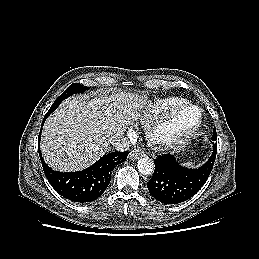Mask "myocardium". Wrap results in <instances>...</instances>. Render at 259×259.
I'll return each instance as SVG.
<instances>
[{
	"label": "myocardium",
	"instance_id": "f54148a6",
	"mask_svg": "<svg viewBox=\"0 0 259 259\" xmlns=\"http://www.w3.org/2000/svg\"><path fill=\"white\" fill-rule=\"evenodd\" d=\"M188 110L196 112L195 120L188 126L177 128L176 118ZM202 119V111L198 106L185 103L151 122L146 128V139L157 150L171 149L189 139L200 127Z\"/></svg>",
	"mask_w": 259,
	"mask_h": 259
}]
</instances>
